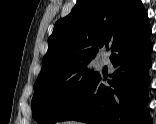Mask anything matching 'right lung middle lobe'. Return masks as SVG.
Masks as SVG:
<instances>
[{
  "mask_svg": "<svg viewBox=\"0 0 156 124\" xmlns=\"http://www.w3.org/2000/svg\"><path fill=\"white\" fill-rule=\"evenodd\" d=\"M90 61L75 64L38 78L31 102L39 124H53L73 106L98 76Z\"/></svg>",
  "mask_w": 156,
  "mask_h": 124,
  "instance_id": "obj_1",
  "label": "right lung middle lobe"
}]
</instances>
